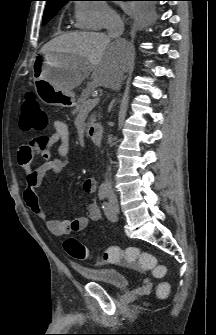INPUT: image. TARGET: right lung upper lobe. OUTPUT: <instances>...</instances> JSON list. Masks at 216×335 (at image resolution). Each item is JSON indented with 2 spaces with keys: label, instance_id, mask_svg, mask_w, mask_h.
Listing matches in <instances>:
<instances>
[{
  "label": "right lung upper lobe",
  "instance_id": "right-lung-upper-lobe-1",
  "mask_svg": "<svg viewBox=\"0 0 216 335\" xmlns=\"http://www.w3.org/2000/svg\"><path fill=\"white\" fill-rule=\"evenodd\" d=\"M47 1V5H51V4H56V3H63V2H67L70 0H46Z\"/></svg>",
  "mask_w": 216,
  "mask_h": 335
}]
</instances>
